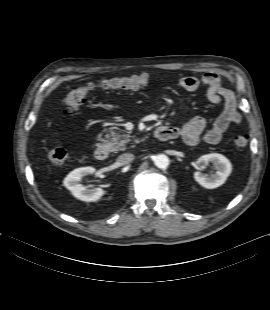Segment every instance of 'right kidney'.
Here are the masks:
<instances>
[{"instance_id": "obj_1", "label": "right kidney", "mask_w": 270, "mask_h": 310, "mask_svg": "<svg viewBox=\"0 0 270 310\" xmlns=\"http://www.w3.org/2000/svg\"><path fill=\"white\" fill-rule=\"evenodd\" d=\"M94 172L95 169L93 167L77 168L65 177L63 184L77 199L85 202L97 201L106 193V191L101 188L91 189L80 184L83 177L93 174Z\"/></svg>"}]
</instances>
